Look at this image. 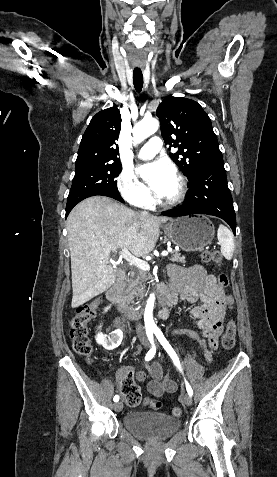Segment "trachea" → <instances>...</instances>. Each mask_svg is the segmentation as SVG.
<instances>
[{
  "mask_svg": "<svg viewBox=\"0 0 277 477\" xmlns=\"http://www.w3.org/2000/svg\"><path fill=\"white\" fill-rule=\"evenodd\" d=\"M133 84L137 92H140L143 87V74L140 70L133 71Z\"/></svg>",
  "mask_w": 277,
  "mask_h": 477,
  "instance_id": "obj_1",
  "label": "trachea"
}]
</instances>
